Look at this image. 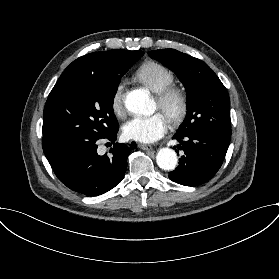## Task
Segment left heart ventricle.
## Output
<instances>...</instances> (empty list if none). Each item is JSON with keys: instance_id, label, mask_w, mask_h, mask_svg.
<instances>
[{"instance_id": "obj_1", "label": "left heart ventricle", "mask_w": 279, "mask_h": 279, "mask_svg": "<svg viewBox=\"0 0 279 279\" xmlns=\"http://www.w3.org/2000/svg\"><path fill=\"white\" fill-rule=\"evenodd\" d=\"M159 108L160 109V107H159V104H158V102H157V100H156V108ZM162 112H163V114L166 116V111H164V110H162V109H160Z\"/></svg>"}]
</instances>
